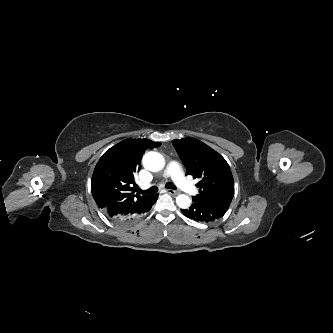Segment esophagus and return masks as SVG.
I'll return each instance as SVG.
<instances>
[{
  "instance_id": "1",
  "label": "esophagus",
  "mask_w": 333,
  "mask_h": 333,
  "mask_svg": "<svg viewBox=\"0 0 333 333\" xmlns=\"http://www.w3.org/2000/svg\"><path fill=\"white\" fill-rule=\"evenodd\" d=\"M166 192H168V193L171 194V195H178V194H180L179 191H177V190H172V189H167Z\"/></svg>"
}]
</instances>
